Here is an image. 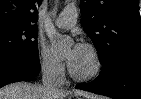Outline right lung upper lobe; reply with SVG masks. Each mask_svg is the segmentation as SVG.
<instances>
[{"label":"right lung upper lobe","mask_w":141,"mask_h":99,"mask_svg":"<svg viewBox=\"0 0 141 99\" xmlns=\"http://www.w3.org/2000/svg\"><path fill=\"white\" fill-rule=\"evenodd\" d=\"M42 0H0V24L24 23L34 25L37 7Z\"/></svg>","instance_id":"cb5924a9"}]
</instances>
